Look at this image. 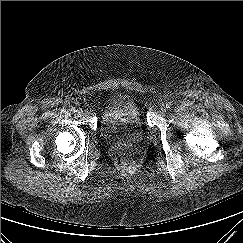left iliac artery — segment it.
<instances>
[{
    "label": "left iliac artery",
    "instance_id": "44dca946",
    "mask_svg": "<svg viewBox=\"0 0 243 243\" xmlns=\"http://www.w3.org/2000/svg\"><path fill=\"white\" fill-rule=\"evenodd\" d=\"M171 105H172V103H171V102H167V103H166V107H167V108H170V107H171Z\"/></svg>",
    "mask_w": 243,
    "mask_h": 243
}]
</instances>
